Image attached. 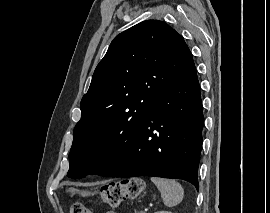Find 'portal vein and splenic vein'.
<instances>
[{
  "mask_svg": "<svg viewBox=\"0 0 270 213\" xmlns=\"http://www.w3.org/2000/svg\"><path fill=\"white\" fill-rule=\"evenodd\" d=\"M148 209H145L144 211H141L140 213H145Z\"/></svg>",
  "mask_w": 270,
  "mask_h": 213,
  "instance_id": "18ae733b",
  "label": "portal vein and splenic vein"
}]
</instances>
